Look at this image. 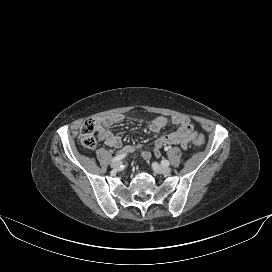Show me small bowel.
Returning a JSON list of instances; mask_svg holds the SVG:
<instances>
[{"instance_id":"obj_1","label":"small bowel","mask_w":272,"mask_h":272,"mask_svg":"<svg viewBox=\"0 0 272 272\" xmlns=\"http://www.w3.org/2000/svg\"><path fill=\"white\" fill-rule=\"evenodd\" d=\"M124 119L122 114H112L104 117H100L96 121V130L98 133L99 141L105 143L109 147L119 149L122 147V139L108 131L107 128L113 124L119 123ZM169 122L177 125V130L168 134L159 135L153 144V152L156 157L160 156L162 147L166 145H180L186 148L188 143L195 138L196 131L190 121V119L183 115H175L171 119L165 116H158L154 118L150 123V130L154 133H160V131L168 125ZM142 157L149 161L151 159L150 152L146 151L141 145L137 147Z\"/></svg>"}]
</instances>
